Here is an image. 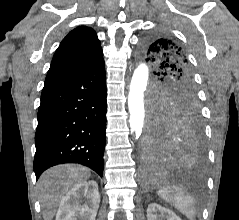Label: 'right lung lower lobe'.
Masks as SVG:
<instances>
[{
	"instance_id": "98d812e1",
	"label": "right lung lower lobe",
	"mask_w": 239,
	"mask_h": 220,
	"mask_svg": "<svg viewBox=\"0 0 239 220\" xmlns=\"http://www.w3.org/2000/svg\"><path fill=\"white\" fill-rule=\"evenodd\" d=\"M35 135L34 171L63 163L90 167L101 177L106 130L104 60L69 78L44 84Z\"/></svg>"
}]
</instances>
